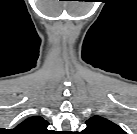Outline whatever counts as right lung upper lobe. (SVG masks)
<instances>
[{
    "mask_svg": "<svg viewBox=\"0 0 137 134\" xmlns=\"http://www.w3.org/2000/svg\"><path fill=\"white\" fill-rule=\"evenodd\" d=\"M48 121L40 116H32L20 123L14 131L18 134H49Z\"/></svg>",
    "mask_w": 137,
    "mask_h": 134,
    "instance_id": "cb5924a9",
    "label": "right lung upper lobe"
}]
</instances>
